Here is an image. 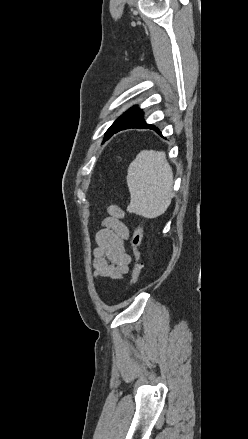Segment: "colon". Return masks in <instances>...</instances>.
Returning a JSON list of instances; mask_svg holds the SVG:
<instances>
[{
    "label": "colon",
    "mask_w": 248,
    "mask_h": 439,
    "mask_svg": "<svg viewBox=\"0 0 248 439\" xmlns=\"http://www.w3.org/2000/svg\"><path fill=\"white\" fill-rule=\"evenodd\" d=\"M146 221V219H142L137 226L135 227L132 239H131V245L134 252L135 262L132 270V276H131V285H135L138 282V279L140 277L141 269H142V263H141V243H142V237H143V224Z\"/></svg>",
    "instance_id": "1"
}]
</instances>
